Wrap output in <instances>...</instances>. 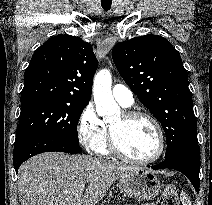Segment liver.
Masks as SVG:
<instances>
[{"label": "liver", "mask_w": 212, "mask_h": 205, "mask_svg": "<svg viewBox=\"0 0 212 205\" xmlns=\"http://www.w3.org/2000/svg\"><path fill=\"white\" fill-rule=\"evenodd\" d=\"M137 169L85 155L46 152L18 171L21 205H96L125 172ZM88 182L83 194L79 191Z\"/></svg>", "instance_id": "obj_1"}]
</instances>
